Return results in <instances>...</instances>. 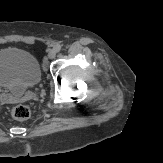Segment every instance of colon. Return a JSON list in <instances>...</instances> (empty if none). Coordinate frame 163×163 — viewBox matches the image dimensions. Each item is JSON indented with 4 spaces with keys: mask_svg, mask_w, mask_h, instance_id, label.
<instances>
[{
    "mask_svg": "<svg viewBox=\"0 0 163 163\" xmlns=\"http://www.w3.org/2000/svg\"><path fill=\"white\" fill-rule=\"evenodd\" d=\"M30 108L26 105H16L12 109V116L17 120H26L30 117Z\"/></svg>",
    "mask_w": 163,
    "mask_h": 163,
    "instance_id": "5ec220e1",
    "label": "colon"
}]
</instances>
